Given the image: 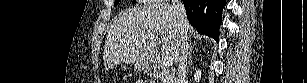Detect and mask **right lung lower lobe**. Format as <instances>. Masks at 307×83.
I'll return each instance as SVG.
<instances>
[{
	"mask_svg": "<svg viewBox=\"0 0 307 83\" xmlns=\"http://www.w3.org/2000/svg\"><path fill=\"white\" fill-rule=\"evenodd\" d=\"M189 22L201 33L219 41L226 0H183Z\"/></svg>",
	"mask_w": 307,
	"mask_h": 83,
	"instance_id": "98d812e1",
	"label": "right lung lower lobe"
}]
</instances>
